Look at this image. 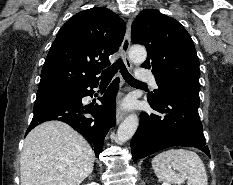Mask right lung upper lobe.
<instances>
[{
    "instance_id": "cb5924a9",
    "label": "right lung upper lobe",
    "mask_w": 233,
    "mask_h": 185,
    "mask_svg": "<svg viewBox=\"0 0 233 185\" xmlns=\"http://www.w3.org/2000/svg\"><path fill=\"white\" fill-rule=\"evenodd\" d=\"M126 31L125 22L107 8H91L71 17L59 30L41 72L38 90L97 82L110 65Z\"/></svg>"
}]
</instances>
